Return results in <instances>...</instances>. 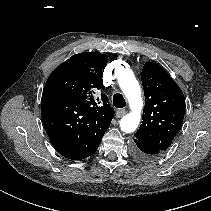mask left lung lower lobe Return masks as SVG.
Masks as SVG:
<instances>
[{"label":"left lung lower lobe","mask_w":211,"mask_h":211,"mask_svg":"<svg viewBox=\"0 0 211 211\" xmlns=\"http://www.w3.org/2000/svg\"><path fill=\"white\" fill-rule=\"evenodd\" d=\"M135 144L132 146V155L138 160L143 162H148L154 160L160 152L146 146L143 143L134 141Z\"/></svg>","instance_id":"left-lung-lower-lobe-1"}]
</instances>
